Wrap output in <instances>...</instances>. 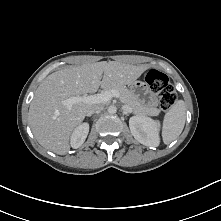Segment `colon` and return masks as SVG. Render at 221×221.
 Returning <instances> with one entry per match:
<instances>
[{
	"label": "colon",
	"mask_w": 221,
	"mask_h": 221,
	"mask_svg": "<svg viewBox=\"0 0 221 221\" xmlns=\"http://www.w3.org/2000/svg\"><path fill=\"white\" fill-rule=\"evenodd\" d=\"M145 79L152 90L158 95L160 108L164 111L171 109L177 100V93L169 82L168 77L156 69H151L146 74Z\"/></svg>",
	"instance_id": "1"
}]
</instances>
